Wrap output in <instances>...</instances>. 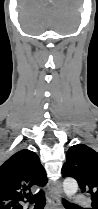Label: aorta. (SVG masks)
Instances as JSON below:
<instances>
[{
  "instance_id": "762f6f07",
  "label": "aorta",
  "mask_w": 98,
  "mask_h": 209,
  "mask_svg": "<svg viewBox=\"0 0 98 209\" xmlns=\"http://www.w3.org/2000/svg\"><path fill=\"white\" fill-rule=\"evenodd\" d=\"M63 189L65 194L70 197L78 191L77 181L73 178H67L63 182Z\"/></svg>"
}]
</instances>
